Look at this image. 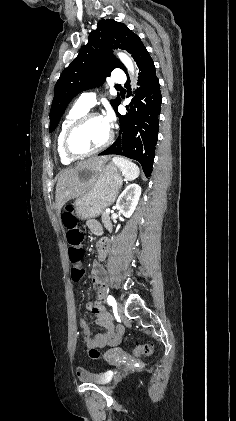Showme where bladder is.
<instances>
[{
    "label": "bladder",
    "mask_w": 236,
    "mask_h": 421,
    "mask_svg": "<svg viewBox=\"0 0 236 421\" xmlns=\"http://www.w3.org/2000/svg\"><path fill=\"white\" fill-rule=\"evenodd\" d=\"M79 381H84L91 384H105L104 375L94 374L92 371H80L78 376Z\"/></svg>",
    "instance_id": "obj_1"
}]
</instances>
